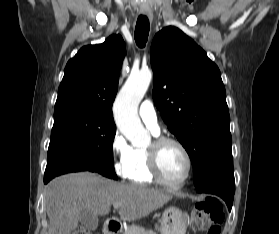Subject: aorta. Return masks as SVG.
Returning a JSON list of instances; mask_svg holds the SVG:
<instances>
[{"label": "aorta", "instance_id": "aorta-1", "mask_svg": "<svg viewBox=\"0 0 279 234\" xmlns=\"http://www.w3.org/2000/svg\"><path fill=\"white\" fill-rule=\"evenodd\" d=\"M152 72L148 69L130 74L114 104V118L121 133L136 147L149 144L150 136L138 116V105L144 97Z\"/></svg>", "mask_w": 279, "mask_h": 234}]
</instances>
